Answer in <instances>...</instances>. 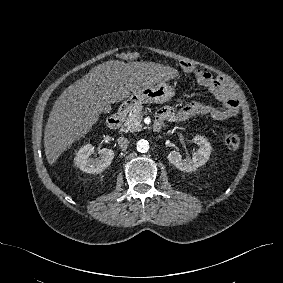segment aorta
Here are the masks:
<instances>
[{
    "mask_svg": "<svg viewBox=\"0 0 283 283\" xmlns=\"http://www.w3.org/2000/svg\"><path fill=\"white\" fill-rule=\"evenodd\" d=\"M136 148L140 153H145L149 150V142L145 139H140L136 143Z\"/></svg>",
    "mask_w": 283,
    "mask_h": 283,
    "instance_id": "obj_1",
    "label": "aorta"
}]
</instances>
